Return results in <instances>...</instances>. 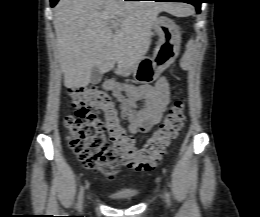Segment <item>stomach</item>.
<instances>
[{
  "label": "stomach",
  "mask_w": 260,
  "mask_h": 217,
  "mask_svg": "<svg viewBox=\"0 0 260 217\" xmlns=\"http://www.w3.org/2000/svg\"><path fill=\"white\" fill-rule=\"evenodd\" d=\"M159 42L152 57H144L128 70L118 68L121 76L133 78L138 83L149 84L154 82L160 74L177 58L180 50V35L174 22L165 16L158 17L153 26Z\"/></svg>",
  "instance_id": "stomach-1"
}]
</instances>
